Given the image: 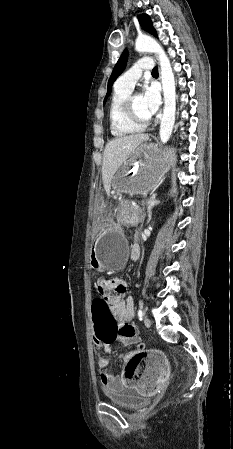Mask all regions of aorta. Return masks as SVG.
I'll use <instances>...</instances> for the list:
<instances>
[{
    "instance_id": "aorta-1",
    "label": "aorta",
    "mask_w": 233,
    "mask_h": 449,
    "mask_svg": "<svg viewBox=\"0 0 233 449\" xmlns=\"http://www.w3.org/2000/svg\"><path fill=\"white\" fill-rule=\"evenodd\" d=\"M135 49L138 52L156 53L160 61L161 81L165 105L159 135L161 141L166 143L169 140L173 130L176 112L175 80L170 60L161 45L149 36H139L135 43Z\"/></svg>"
}]
</instances>
